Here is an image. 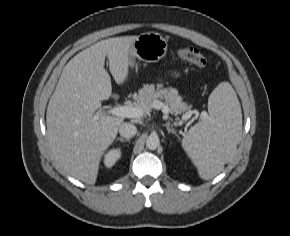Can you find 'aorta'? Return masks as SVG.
<instances>
[{"instance_id": "1", "label": "aorta", "mask_w": 290, "mask_h": 236, "mask_svg": "<svg viewBox=\"0 0 290 236\" xmlns=\"http://www.w3.org/2000/svg\"><path fill=\"white\" fill-rule=\"evenodd\" d=\"M160 140L157 135H150L146 140V147L150 150H155L159 147Z\"/></svg>"}]
</instances>
